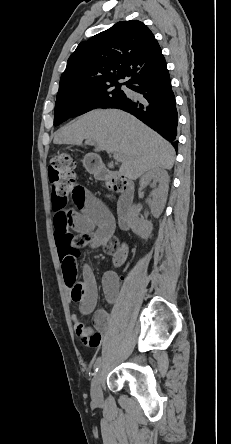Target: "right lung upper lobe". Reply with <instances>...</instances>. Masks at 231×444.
<instances>
[{
  "label": "right lung upper lobe",
  "instance_id": "1",
  "mask_svg": "<svg viewBox=\"0 0 231 444\" xmlns=\"http://www.w3.org/2000/svg\"><path fill=\"white\" fill-rule=\"evenodd\" d=\"M165 67L161 48L144 23L119 22L78 45L61 75L58 94L118 83L124 78L125 84H131Z\"/></svg>",
  "mask_w": 231,
  "mask_h": 444
}]
</instances>
